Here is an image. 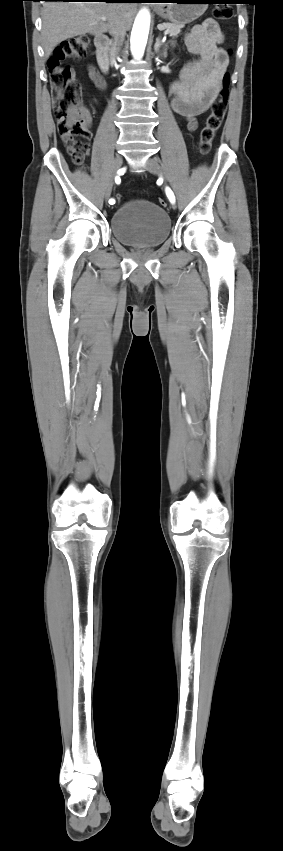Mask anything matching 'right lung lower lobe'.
<instances>
[{
    "label": "right lung lower lobe",
    "mask_w": 283,
    "mask_h": 851,
    "mask_svg": "<svg viewBox=\"0 0 283 851\" xmlns=\"http://www.w3.org/2000/svg\"><path fill=\"white\" fill-rule=\"evenodd\" d=\"M45 1H77V0H45ZM83 1H105V2H143V0H83Z\"/></svg>",
    "instance_id": "1"
}]
</instances>
